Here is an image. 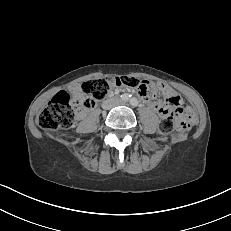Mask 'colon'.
<instances>
[{"label": "colon", "instance_id": "obj_1", "mask_svg": "<svg viewBox=\"0 0 231 231\" xmlns=\"http://www.w3.org/2000/svg\"><path fill=\"white\" fill-rule=\"evenodd\" d=\"M117 86H123L137 91L143 96L153 94V86L150 83L131 76H107L100 79L89 80L81 85L83 97L71 98L66 92L57 93L48 106L38 117L39 126L47 131L59 128H69L73 125L76 112L80 108H91L97 101L102 100L108 92ZM194 117V111L188 106H179L163 115L160 129L163 133L179 131L182 133L190 129V120Z\"/></svg>", "mask_w": 231, "mask_h": 231}]
</instances>
